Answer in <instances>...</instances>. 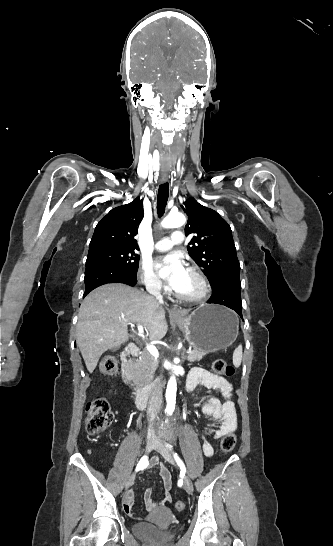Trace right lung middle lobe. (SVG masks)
<instances>
[{
	"label": "right lung middle lobe",
	"instance_id": "right-lung-middle-lobe-1",
	"mask_svg": "<svg viewBox=\"0 0 333 546\" xmlns=\"http://www.w3.org/2000/svg\"><path fill=\"white\" fill-rule=\"evenodd\" d=\"M97 261L117 265L137 273L139 255L134 249L103 247L88 253L86 264Z\"/></svg>",
	"mask_w": 333,
	"mask_h": 546
}]
</instances>
